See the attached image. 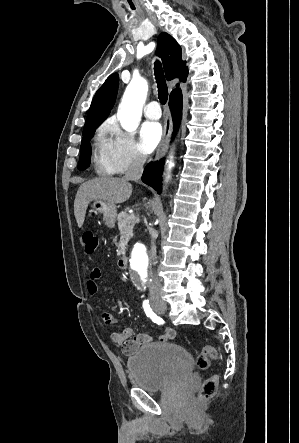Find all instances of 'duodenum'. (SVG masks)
<instances>
[{
    "label": "duodenum",
    "mask_w": 299,
    "mask_h": 443,
    "mask_svg": "<svg viewBox=\"0 0 299 443\" xmlns=\"http://www.w3.org/2000/svg\"><path fill=\"white\" fill-rule=\"evenodd\" d=\"M117 265L119 269H126L128 266V258L126 256H121L117 260Z\"/></svg>",
    "instance_id": "1"
}]
</instances>
